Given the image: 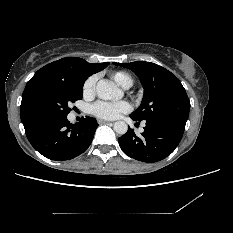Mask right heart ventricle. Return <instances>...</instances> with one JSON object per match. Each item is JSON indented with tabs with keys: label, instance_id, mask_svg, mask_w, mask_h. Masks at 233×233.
I'll return each instance as SVG.
<instances>
[{
	"label": "right heart ventricle",
	"instance_id": "1",
	"mask_svg": "<svg viewBox=\"0 0 233 233\" xmlns=\"http://www.w3.org/2000/svg\"><path fill=\"white\" fill-rule=\"evenodd\" d=\"M110 76L122 87L128 88L132 85V77L124 71H113Z\"/></svg>",
	"mask_w": 233,
	"mask_h": 233
}]
</instances>
